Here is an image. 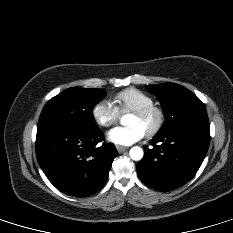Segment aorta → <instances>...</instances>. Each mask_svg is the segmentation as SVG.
<instances>
[{
  "label": "aorta",
  "mask_w": 233,
  "mask_h": 233,
  "mask_svg": "<svg viewBox=\"0 0 233 233\" xmlns=\"http://www.w3.org/2000/svg\"><path fill=\"white\" fill-rule=\"evenodd\" d=\"M121 124H124V119H121ZM144 152L142 148L135 146L132 147L129 151V156L132 160L139 161L143 158Z\"/></svg>",
  "instance_id": "obj_1"
}]
</instances>
